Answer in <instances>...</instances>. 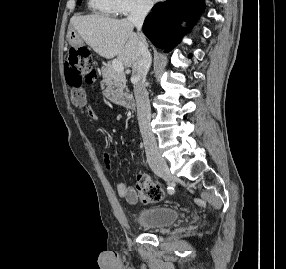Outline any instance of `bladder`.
I'll list each match as a JSON object with an SVG mask.
<instances>
[{
  "mask_svg": "<svg viewBox=\"0 0 286 269\" xmlns=\"http://www.w3.org/2000/svg\"><path fill=\"white\" fill-rule=\"evenodd\" d=\"M179 218V212L173 207L154 206L138 210L134 221L143 229L160 230L176 223Z\"/></svg>",
  "mask_w": 286,
  "mask_h": 269,
  "instance_id": "bladder-1",
  "label": "bladder"
}]
</instances>
